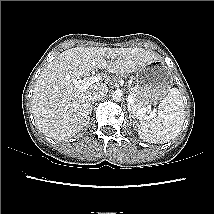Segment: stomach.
Masks as SVG:
<instances>
[{"label":"stomach","instance_id":"obj_1","mask_svg":"<svg viewBox=\"0 0 214 214\" xmlns=\"http://www.w3.org/2000/svg\"><path fill=\"white\" fill-rule=\"evenodd\" d=\"M135 84V102L149 108L168 95L174 78L164 61L154 59L137 71Z\"/></svg>","mask_w":214,"mask_h":214}]
</instances>
